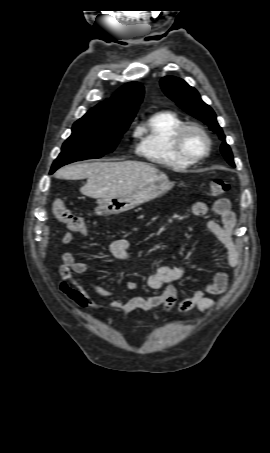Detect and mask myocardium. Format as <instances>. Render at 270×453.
<instances>
[{"label":"myocardium","instance_id":"f54148a6","mask_svg":"<svg viewBox=\"0 0 270 453\" xmlns=\"http://www.w3.org/2000/svg\"><path fill=\"white\" fill-rule=\"evenodd\" d=\"M192 131L201 134L204 137V139L206 140L205 151L202 154H200V155H191V154H189L186 151V149L184 147L185 135L188 132H192ZM173 147H174L176 153L180 157H182L183 159H185L187 161L196 163V162H199V161L207 158L210 155L211 147H212V141H211V138H210L209 134L207 133V131L202 126H200L198 124H184L174 134Z\"/></svg>","mask_w":270,"mask_h":453}]
</instances>
